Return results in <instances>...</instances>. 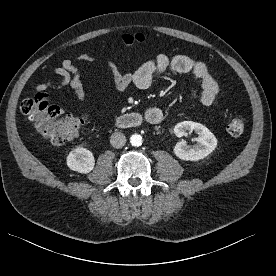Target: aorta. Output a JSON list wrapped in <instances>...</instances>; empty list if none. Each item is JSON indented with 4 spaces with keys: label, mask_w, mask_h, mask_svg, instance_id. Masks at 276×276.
<instances>
[{
    "label": "aorta",
    "mask_w": 276,
    "mask_h": 276,
    "mask_svg": "<svg viewBox=\"0 0 276 276\" xmlns=\"http://www.w3.org/2000/svg\"><path fill=\"white\" fill-rule=\"evenodd\" d=\"M130 143L132 146H140L142 144V136L139 134H133L130 137Z\"/></svg>",
    "instance_id": "1"
}]
</instances>
